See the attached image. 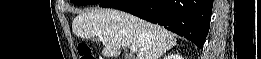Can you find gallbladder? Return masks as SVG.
<instances>
[{"label":"gallbladder","instance_id":"gallbladder-1","mask_svg":"<svg viewBox=\"0 0 261 59\" xmlns=\"http://www.w3.org/2000/svg\"><path fill=\"white\" fill-rule=\"evenodd\" d=\"M126 59H131V57H129V56H126Z\"/></svg>","mask_w":261,"mask_h":59}]
</instances>
